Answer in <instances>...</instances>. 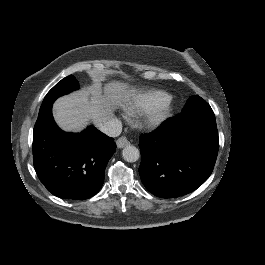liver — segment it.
Segmentation results:
<instances>
[{"instance_id":"6515ba94","label":"liver","mask_w":265,"mask_h":265,"mask_svg":"<svg viewBox=\"0 0 265 265\" xmlns=\"http://www.w3.org/2000/svg\"><path fill=\"white\" fill-rule=\"evenodd\" d=\"M129 84L111 81L102 88L101 80L93 78V84L83 91L59 98L53 106L57 124L65 131H80L91 119L99 127L114 118V111L131 100Z\"/></svg>"}]
</instances>
